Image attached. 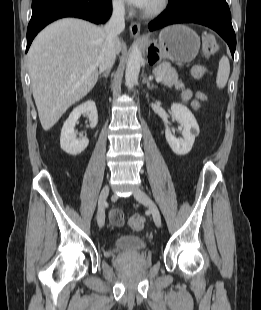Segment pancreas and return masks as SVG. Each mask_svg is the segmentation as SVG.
Returning <instances> with one entry per match:
<instances>
[{
  "label": "pancreas",
  "instance_id": "obj_1",
  "mask_svg": "<svg viewBox=\"0 0 261 310\" xmlns=\"http://www.w3.org/2000/svg\"><path fill=\"white\" fill-rule=\"evenodd\" d=\"M156 77H162L161 83L167 87H175L177 90H183L184 84L178 79V74L169 64L163 63L153 70Z\"/></svg>",
  "mask_w": 261,
  "mask_h": 310
}]
</instances>
